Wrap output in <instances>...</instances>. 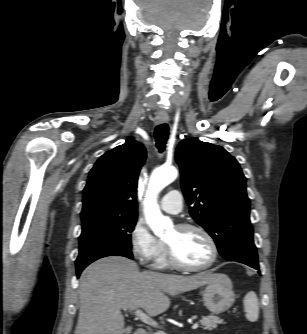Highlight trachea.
Wrapping results in <instances>:
<instances>
[{
  "mask_svg": "<svg viewBox=\"0 0 307 334\" xmlns=\"http://www.w3.org/2000/svg\"><path fill=\"white\" fill-rule=\"evenodd\" d=\"M155 140H156V147L160 152H163L166 147L167 139L169 136V128L166 123L160 124L155 128Z\"/></svg>",
  "mask_w": 307,
  "mask_h": 334,
  "instance_id": "trachea-1",
  "label": "trachea"
}]
</instances>
